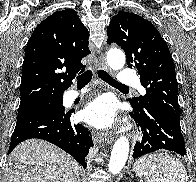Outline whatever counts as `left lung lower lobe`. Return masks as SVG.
I'll return each mask as SVG.
<instances>
[{"mask_svg":"<svg viewBox=\"0 0 196 182\" xmlns=\"http://www.w3.org/2000/svg\"><path fill=\"white\" fill-rule=\"evenodd\" d=\"M129 102L134 109L131 116L142 132L141 138L134 147V158L160 149L173 151L181 156L186 155L180 121L156 106L147 105L138 108L134 103Z\"/></svg>","mask_w":196,"mask_h":182,"instance_id":"left-lung-lower-lobe-1","label":"left lung lower lobe"}]
</instances>
